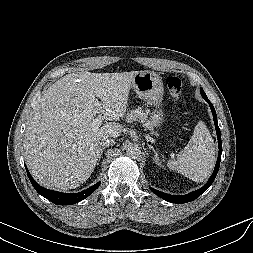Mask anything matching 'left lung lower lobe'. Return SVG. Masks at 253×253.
<instances>
[{
    "label": "left lung lower lobe",
    "mask_w": 253,
    "mask_h": 253,
    "mask_svg": "<svg viewBox=\"0 0 253 253\" xmlns=\"http://www.w3.org/2000/svg\"><path fill=\"white\" fill-rule=\"evenodd\" d=\"M205 100L209 103V106H210L212 114H213V120H214V124H215V128H216V133H217V138H218V145H219V154H218V159H217V163H216L214 172H213L212 176L210 177L209 181L202 188H200L196 191H193V192H191L187 195H182V196L170 195V194L155 190L153 188H150V190L153 191L156 195H158L159 197L165 199L168 202L187 203V202L195 200L207 188H209L212 185V183H213V181H214V179H215V177L218 173L219 166H220V161H221V153H222L221 133H220V129H219L218 123H217L216 111H215L213 105L211 104V102L208 100V98H206Z\"/></svg>",
    "instance_id": "obj_1"
}]
</instances>
